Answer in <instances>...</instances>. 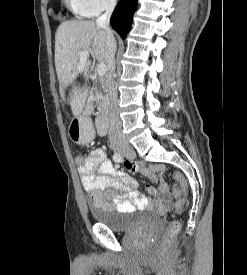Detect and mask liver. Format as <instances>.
Returning <instances> with one entry per match:
<instances>
[{"label": "liver", "instance_id": "obj_1", "mask_svg": "<svg viewBox=\"0 0 247 275\" xmlns=\"http://www.w3.org/2000/svg\"><path fill=\"white\" fill-rule=\"evenodd\" d=\"M89 51L100 63L108 64L106 60L107 42L105 31L98 27L94 21H64L57 29L55 35V67L59 81V90L65 101V89L72 86L68 101L72 114L79 116L85 107L89 94L88 78L91 60L87 58L83 71H79L81 65L80 53ZM83 73L85 84L80 87L77 78Z\"/></svg>", "mask_w": 247, "mask_h": 275}]
</instances>
